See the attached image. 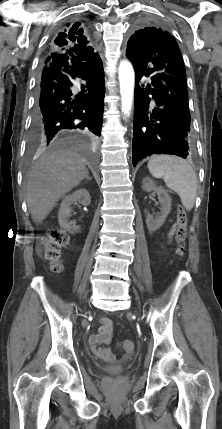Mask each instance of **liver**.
Masks as SVG:
<instances>
[{"mask_svg": "<svg viewBox=\"0 0 222 429\" xmlns=\"http://www.w3.org/2000/svg\"><path fill=\"white\" fill-rule=\"evenodd\" d=\"M88 174L85 159L71 150L43 154L31 167L26 181V202L35 223H41L57 201Z\"/></svg>", "mask_w": 222, "mask_h": 429, "instance_id": "obj_1", "label": "liver"}]
</instances>
